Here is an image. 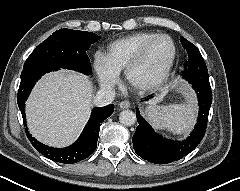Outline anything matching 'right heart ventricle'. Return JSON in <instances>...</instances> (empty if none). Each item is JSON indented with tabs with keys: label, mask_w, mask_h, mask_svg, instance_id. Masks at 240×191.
I'll return each mask as SVG.
<instances>
[{
	"label": "right heart ventricle",
	"mask_w": 240,
	"mask_h": 191,
	"mask_svg": "<svg viewBox=\"0 0 240 191\" xmlns=\"http://www.w3.org/2000/svg\"><path fill=\"white\" fill-rule=\"evenodd\" d=\"M156 35L152 32H138L115 40L109 44L106 56L118 73L124 72L142 47Z\"/></svg>",
	"instance_id": "1"
}]
</instances>
